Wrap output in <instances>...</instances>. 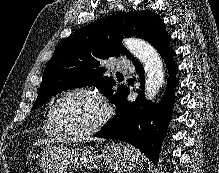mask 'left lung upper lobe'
<instances>
[{
	"label": "left lung upper lobe",
	"mask_w": 219,
	"mask_h": 173,
	"mask_svg": "<svg viewBox=\"0 0 219 173\" xmlns=\"http://www.w3.org/2000/svg\"><path fill=\"white\" fill-rule=\"evenodd\" d=\"M124 36L144 38L155 47L168 34L163 20L149 10L121 12L77 30L55 49L44 70L38 97L32 109L40 107L63 90L93 85L102 90L112 103L117 104L127 87L121 85L114 90L115 80L103 76L105 68L100 63L120 54L135 61L122 46Z\"/></svg>",
	"instance_id": "left-lung-upper-lobe-1"
}]
</instances>
